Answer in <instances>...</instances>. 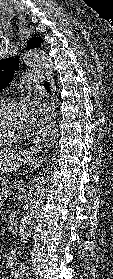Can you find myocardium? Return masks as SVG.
Wrapping results in <instances>:
<instances>
[{
    "label": "myocardium",
    "mask_w": 113,
    "mask_h": 279,
    "mask_svg": "<svg viewBox=\"0 0 113 279\" xmlns=\"http://www.w3.org/2000/svg\"><path fill=\"white\" fill-rule=\"evenodd\" d=\"M9 106V107H18L21 106V102L16 99L11 98H0V107ZM28 133H24L20 136H3L0 134V144L4 143H17L24 140L27 137Z\"/></svg>",
    "instance_id": "obj_1"
}]
</instances>
